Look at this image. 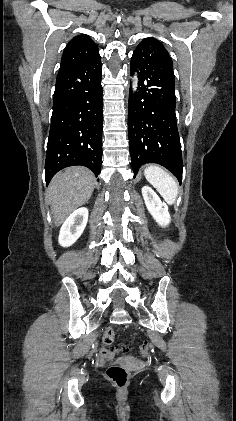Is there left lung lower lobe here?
Here are the masks:
<instances>
[{"label":"left lung lower lobe","instance_id":"1","mask_svg":"<svg viewBox=\"0 0 236 421\" xmlns=\"http://www.w3.org/2000/svg\"><path fill=\"white\" fill-rule=\"evenodd\" d=\"M138 73L137 93L130 90L128 135L134 177L146 163L171 171L181 183L183 162L175 115L172 59L163 46L138 45L131 58Z\"/></svg>","mask_w":236,"mask_h":421}]
</instances>
